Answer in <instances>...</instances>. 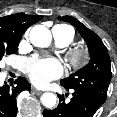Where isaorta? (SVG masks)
Here are the masks:
<instances>
[{"label":"aorta","instance_id":"obj_1","mask_svg":"<svg viewBox=\"0 0 117 117\" xmlns=\"http://www.w3.org/2000/svg\"><path fill=\"white\" fill-rule=\"evenodd\" d=\"M31 43L36 47L46 48L51 44L52 35L50 30L43 25L34 26L29 34ZM57 97L53 93H43L41 102L46 108H53L56 104Z\"/></svg>","mask_w":117,"mask_h":117}]
</instances>
